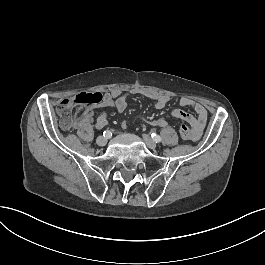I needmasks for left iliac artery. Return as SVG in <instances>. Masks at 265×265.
I'll return each instance as SVG.
<instances>
[{"mask_svg":"<svg viewBox=\"0 0 265 265\" xmlns=\"http://www.w3.org/2000/svg\"><path fill=\"white\" fill-rule=\"evenodd\" d=\"M151 137L153 138V140L157 143V142H161V137L159 135H157L156 133H152Z\"/></svg>","mask_w":265,"mask_h":265,"instance_id":"obj_1","label":"left iliac artery"}]
</instances>
